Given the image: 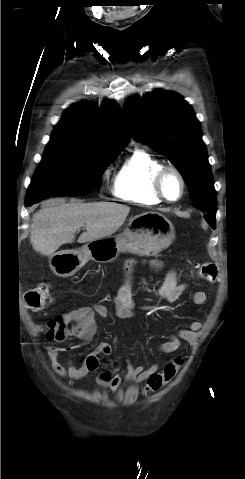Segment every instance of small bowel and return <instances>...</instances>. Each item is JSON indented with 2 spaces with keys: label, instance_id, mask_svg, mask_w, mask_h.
<instances>
[{
  "label": "small bowel",
  "instance_id": "obj_1",
  "mask_svg": "<svg viewBox=\"0 0 245 479\" xmlns=\"http://www.w3.org/2000/svg\"><path fill=\"white\" fill-rule=\"evenodd\" d=\"M135 264L134 260H129L125 266V278L118 290L113 296V304L115 315L120 319L132 318L135 316V300L132 294V269ZM156 268L161 266L158 261L152 262ZM188 285L178 280L174 270L167 272L163 283L156 290V295L167 301L175 302L187 290ZM192 300L197 305H202L207 301L205 292L197 291L193 294ZM107 318L110 315L109 309L103 304H94L89 307H81L70 311L67 318L73 321L76 326L71 330L70 335L82 339L86 334H91L95 330V316ZM51 326V320L48 322ZM202 323L200 321H192L187 329H181L177 334L170 335L168 340L159 345L162 353L170 354L176 352L182 341L190 342L194 339L195 334L201 330ZM55 340V339H54ZM62 341V340H55ZM61 348L57 345H50L47 348L48 358L54 372L63 378L78 380L90 373H97L96 385L100 388H108L116 392L124 386L131 383H142L155 373H158L159 365L152 364L150 367L144 365L127 364L126 373L122 377L117 371L100 369L101 357L112 353V346L108 342H101L99 346L88 353L80 365H75L71 360H67L65 364L59 362L58 357Z\"/></svg>",
  "mask_w": 245,
  "mask_h": 479
}]
</instances>
